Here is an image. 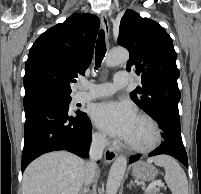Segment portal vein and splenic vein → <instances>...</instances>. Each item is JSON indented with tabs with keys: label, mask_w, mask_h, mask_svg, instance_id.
<instances>
[{
	"label": "portal vein and splenic vein",
	"mask_w": 201,
	"mask_h": 194,
	"mask_svg": "<svg viewBox=\"0 0 201 194\" xmlns=\"http://www.w3.org/2000/svg\"><path fill=\"white\" fill-rule=\"evenodd\" d=\"M156 186L163 187L164 184L160 180L159 181H155V182L151 183L145 191H147L149 189H152V188H154Z\"/></svg>",
	"instance_id": "18ae733b"
}]
</instances>
